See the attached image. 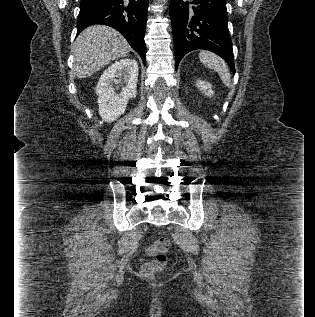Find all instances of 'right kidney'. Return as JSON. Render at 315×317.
<instances>
[{
	"label": "right kidney",
	"mask_w": 315,
	"mask_h": 317,
	"mask_svg": "<svg viewBox=\"0 0 315 317\" xmlns=\"http://www.w3.org/2000/svg\"><path fill=\"white\" fill-rule=\"evenodd\" d=\"M138 71V63L134 59H121L110 65L101 75L96 94L99 114L105 122L117 120L124 113L128 100L136 97ZM113 83H123L125 86L120 93H115Z\"/></svg>",
	"instance_id": "ca27d5eb"
}]
</instances>
